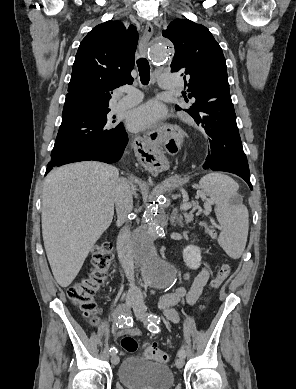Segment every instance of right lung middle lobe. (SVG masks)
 Wrapping results in <instances>:
<instances>
[{
	"label": "right lung middle lobe",
	"mask_w": 296,
	"mask_h": 389,
	"mask_svg": "<svg viewBox=\"0 0 296 389\" xmlns=\"http://www.w3.org/2000/svg\"><path fill=\"white\" fill-rule=\"evenodd\" d=\"M108 112L77 113L62 117L51 157L66 154L75 156L82 148L110 145L121 139L124 127L122 124L114 126L112 123L115 121H108Z\"/></svg>",
	"instance_id": "right-lung-middle-lobe-1"
}]
</instances>
